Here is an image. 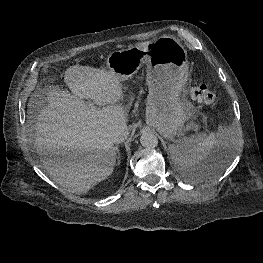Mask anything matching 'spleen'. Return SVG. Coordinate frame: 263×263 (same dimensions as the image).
<instances>
[{"label":"spleen","mask_w":263,"mask_h":263,"mask_svg":"<svg viewBox=\"0 0 263 263\" xmlns=\"http://www.w3.org/2000/svg\"><path fill=\"white\" fill-rule=\"evenodd\" d=\"M240 134L234 127H219L216 133H200L184 137L170 147L172 160L192 182L205 179H217L227 168L234 151L238 147ZM215 147L222 150L217 172L211 176L194 175L195 166L203 161Z\"/></svg>","instance_id":"obj_1"}]
</instances>
